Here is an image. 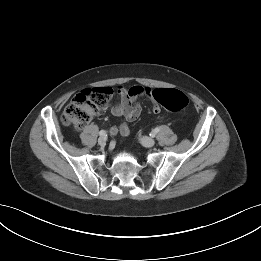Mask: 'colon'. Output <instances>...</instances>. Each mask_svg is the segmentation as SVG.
I'll return each mask as SVG.
<instances>
[{"label":"colon","instance_id":"obj_1","mask_svg":"<svg viewBox=\"0 0 261 261\" xmlns=\"http://www.w3.org/2000/svg\"><path fill=\"white\" fill-rule=\"evenodd\" d=\"M113 91L109 87H99L83 90L66 106L62 113V122L76 130L82 129L112 97ZM155 104L162 106L169 112H177L187 107L188 97L176 89H156L152 92ZM110 136H118L119 128L110 127Z\"/></svg>","mask_w":261,"mask_h":261}]
</instances>
